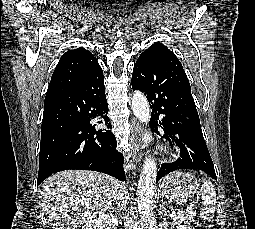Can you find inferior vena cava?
<instances>
[{"mask_svg": "<svg viewBox=\"0 0 255 229\" xmlns=\"http://www.w3.org/2000/svg\"><path fill=\"white\" fill-rule=\"evenodd\" d=\"M127 201L126 192L124 190V187H121L119 191H117L115 195V202L118 204V207L122 210L125 208Z\"/></svg>", "mask_w": 255, "mask_h": 229, "instance_id": "1", "label": "inferior vena cava"}]
</instances>
